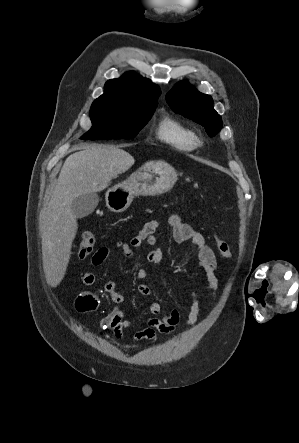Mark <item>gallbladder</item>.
<instances>
[{
  "mask_svg": "<svg viewBox=\"0 0 299 443\" xmlns=\"http://www.w3.org/2000/svg\"><path fill=\"white\" fill-rule=\"evenodd\" d=\"M99 203L97 193H87L75 198L71 203V210L75 218H84L90 215Z\"/></svg>",
  "mask_w": 299,
  "mask_h": 443,
  "instance_id": "obj_1",
  "label": "gallbladder"
}]
</instances>
